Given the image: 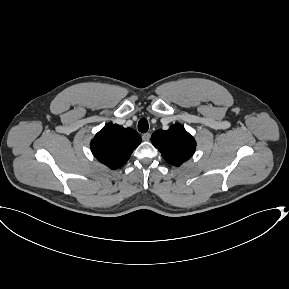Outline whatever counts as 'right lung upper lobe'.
I'll return each mask as SVG.
<instances>
[{
  "instance_id": "obj_1",
  "label": "right lung upper lobe",
  "mask_w": 289,
  "mask_h": 289,
  "mask_svg": "<svg viewBox=\"0 0 289 289\" xmlns=\"http://www.w3.org/2000/svg\"><path fill=\"white\" fill-rule=\"evenodd\" d=\"M141 143L140 135L131 128L109 124L91 141V150L98 161L111 169L123 166Z\"/></svg>"
}]
</instances>
